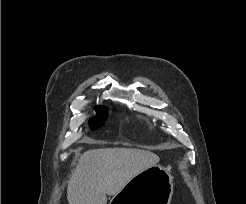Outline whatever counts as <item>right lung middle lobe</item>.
I'll list each match as a JSON object with an SVG mask.
<instances>
[{
  "instance_id": "1",
  "label": "right lung middle lobe",
  "mask_w": 246,
  "mask_h": 204,
  "mask_svg": "<svg viewBox=\"0 0 246 204\" xmlns=\"http://www.w3.org/2000/svg\"><path fill=\"white\" fill-rule=\"evenodd\" d=\"M97 112H98V115L96 116V118H94L91 121V129H97L105 121L106 111L103 108L98 107Z\"/></svg>"
}]
</instances>
